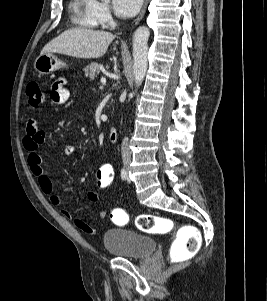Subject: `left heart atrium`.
<instances>
[{
    "mask_svg": "<svg viewBox=\"0 0 267 301\" xmlns=\"http://www.w3.org/2000/svg\"><path fill=\"white\" fill-rule=\"evenodd\" d=\"M143 0H113L115 13L122 18H129L137 14Z\"/></svg>",
    "mask_w": 267,
    "mask_h": 301,
    "instance_id": "obj_1",
    "label": "left heart atrium"
}]
</instances>
